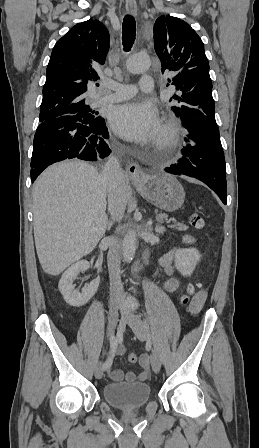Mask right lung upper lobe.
Wrapping results in <instances>:
<instances>
[{
	"label": "right lung upper lobe",
	"instance_id": "1",
	"mask_svg": "<svg viewBox=\"0 0 259 448\" xmlns=\"http://www.w3.org/2000/svg\"><path fill=\"white\" fill-rule=\"evenodd\" d=\"M108 50L109 33L98 20L78 23L60 38L47 66L40 114L86 105L87 82L99 79Z\"/></svg>",
	"mask_w": 259,
	"mask_h": 448
}]
</instances>
